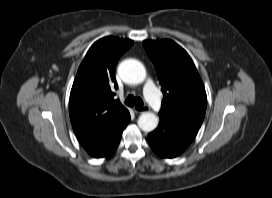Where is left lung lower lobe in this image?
I'll use <instances>...</instances> for the list:
<instances>
[{"instance_id": "0a47b994", "label": "left lung lower lobe", "mask_w": 272, "mask_h": 198, "mask_svg": "<svg viewBox=\"0 0 272 198\" xmlns=\"http://www.w3.org/2000/svg\"><path fill=\"white\" fill-rule=\"evenodd\" d=\"M156 130L148 135L152 150L161 157L174 158L180 155L193 141L199 127L163 116Z\"/></svg>"}]
</instances>
